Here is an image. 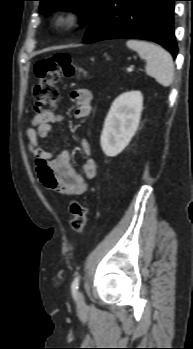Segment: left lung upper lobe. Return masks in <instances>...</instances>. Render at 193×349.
Instances as JSON below:
<instances>
[{
  "mask_svg": "<svg viewBox=\"0 0 193 349\" xmlns=\"http://www.w3.org/2000/svg\"><path fill=\"white\" fill-rule=\"evenodd\" d=\"M40 13H49L58 9L81 12L84 20L80 24L92 23L106 0H38Z\"/></svg>",
  "mask_w": 193,
  "mask_h": 349,
  "instance_id": "5c2ea615",
  "label": "left lung upper lobe"
}]
</instances>
